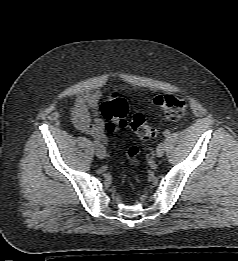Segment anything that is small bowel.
I'll return each mask as SVG.
<instances>
[{
    "mask_svg": "<svg viewBox=\"0 0 238 261\" xmlns=\"http://www.w3.org/2000/svg\"><path fill=\"white\" fill-rule=\"evenodd\" d=\"M101 101L102 96L100 93H85L77 97L71 110L74 126L99 143L105 142L107 139L104 122L99 117Z\"/></svg>",
    "mask_w": 238,
    "mask_h": 261,
    "instance_id": "1",
    "label": "small bowel"
}]
</instances>
